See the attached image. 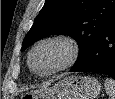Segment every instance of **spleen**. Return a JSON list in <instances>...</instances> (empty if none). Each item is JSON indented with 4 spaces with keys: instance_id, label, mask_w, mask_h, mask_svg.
<instances>
[{
    "instance_id": "1",
    "label": "spleen",
    "mask_w": 115,
    "mask_h": 99,
    "mask_svg": "<svg viewBox=\"0 0 115 99\" xmlns=\"http://www.w3.org/2000/svg\"><path fill=\"white\" fill-rule=\"evenodd\" d=\"M105 90L111 99H115V80L111 78L105 79Z\"/></svg>"
}]
</instances>
